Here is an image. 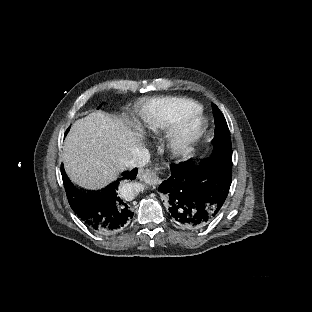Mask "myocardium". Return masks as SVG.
<instances>
[{
	"label": "myocardium",
	"mask_w": 312,
	"mask_h": 312,
	"mask_svg": "<svg viewBox=\"0 0 312 312\" xmlns=\"http://www.w3.org/2000/svg\"><path fill=\"white\" fill-rule=\"evenodd\" d=\"M206 133V117L199 110L184 113L179 124L169 131V143L176 150L189 149L197 145Z\"/></svg>",
	"instance_id": "f54148a6"
}]
</instances>
